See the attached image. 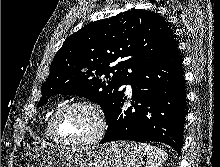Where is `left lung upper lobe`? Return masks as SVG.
I'll return each instance as SVG.
<instances>
[{"mask_svg":"<svg viewBox=\"0 0 220 167\" xmlns=\"http://www.w3.org/2000/svg\"><path fill=\"white\" fill-rule=\"evenodd\" d=\"M176 48L169 24L151 11L92 22L67 37L55 55L38 107L52 95H79L101 105L107 121L124 94L120 87Z\"/></svg>","mask_w":220,"mask_h":167,"instance_id":"left-lung-upper-lobe-1","label":"left lung upper lobe"}]
</instances>
